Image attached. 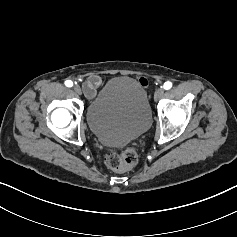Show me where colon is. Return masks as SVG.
Listing matches in <instances>:
<instances>
[{
	"label": "colon",
	"instance_id": "5ec220e1",
	"mask_svg": "<svg viewBox=\"0 0 237 237\" xmlns=\"http://www.w3.org/2000/svg\"><path fill=\"white\" fill-rule=\"evenodd\" d=\"M138 162V154L133 148H126L121 152L111 151L105 155V164L117 172L132 169Z\"/></svg>",
	"mask_w": 237,
	"mask_h": 237
}]
</instances>
